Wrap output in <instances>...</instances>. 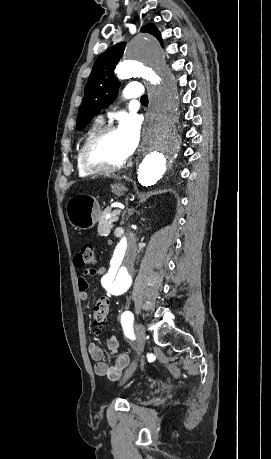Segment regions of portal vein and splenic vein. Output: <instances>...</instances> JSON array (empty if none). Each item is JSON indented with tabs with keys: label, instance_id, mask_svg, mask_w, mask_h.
Here are the masks:
<instances>
[{
	"label": "portal vein and splenic vein",
	"instance_id": "obj_1",
	"mask_svg": "<svg viewBox=\"0 0 271 459\" xmlns=\"http://www.w3.org/2000/svg\"><path fill=\"white\" fill-rule=\"evenodd\" d=\"M119 216H120V215L117 214V215L114 217V220H112V222L118 221V220H119V219H118Z\"/></svg>",
	"mask_w": 271,
	"mask_h": 459
}]
</instances>
